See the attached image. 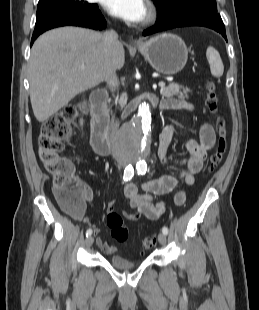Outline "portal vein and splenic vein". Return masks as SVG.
<instances>
[{"instance_id": "1", "label": "portal vein and splenic vein", "mask_w": 259, "mask_h": 310, "mask_svg": "<svg viewBox=\"0 0 259 310\" xmlns=\"http://www.w3.org/2000/svg\"><path fill=\"white\" fill-rule=\"evenodd\" d=\"M82 68H85L84 66H82ZM159 87H161V88H163V87H165V82H159Z\"/></svg>"}]
</instances>
